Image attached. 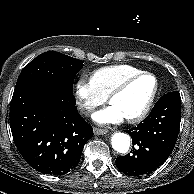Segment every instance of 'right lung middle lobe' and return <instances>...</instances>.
<instances>
[{
	"label": "right lung middle lobe",
	"mask_w": 194,
	"mask_h": 194,
	"mask_svg": "<svg viewBox=\"0 0 194 194\" xmlns=\"http://www.w3.org/2000/svg\"><path fill=\"white\" fill-rule=\"evenodd\" d=\"M82 67V60L59 52H45L22 69L16 87L40 84L59 92L73 94V81Z\"/></svg>",
	"instance_id": "dd1d6c3e"
}]
</instances>
